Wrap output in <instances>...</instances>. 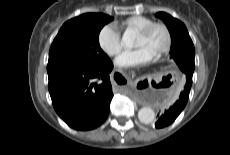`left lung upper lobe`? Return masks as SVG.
I'll return each instance as SVG.
<instances>
[{
  "instance_id": "1",
  "label": "left lung upper lobe",
  "mask_w": 230,
  "mask_h": 155,
  "mask_svg": "<svg viewBox=\"0 0 230 155\" xmlns=\"http://www.w3.org/2000/svg\"><path fill=\"white\" fill-rule=\"evenodd\" d=\"M156 16L164 21L170 31L172 38L171 58L175 60L185 77L187 75L192 76L195 67V49L186 26L167 13L158 12Z\"/></svg>"
}]
</instances>
